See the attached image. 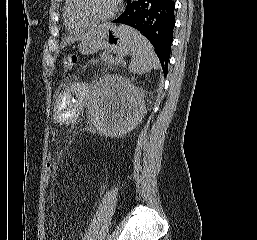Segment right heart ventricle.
<instances>
[{
	"label": "right heart ventricle",
	"instance_id": "right-heart-ventricle-1",
	"mask_svg": "<svg viewBox=\"0 0 257 240\" xmlns=\"http://www.w3.org/2000/svg\"><path fill=\"white\" fill-rule=\"evenodd\" d=\"M63 16L65 28L70 33H78L89 27V24L83 23L75 17L72 0L65 1Z\"/></svg>",
	"mask_w": 257,
	"mask_h": 240
}]
</instances>
